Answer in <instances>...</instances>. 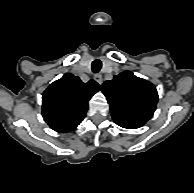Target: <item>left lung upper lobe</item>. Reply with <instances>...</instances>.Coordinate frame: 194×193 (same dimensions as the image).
<instances>
[{"instance_id": "obj_1", "label": "left lung upper lobe", "mask_w": 194, "mask_h": 193, "mask_svg": "<svg viewBox=\"0 0 194 193\" xmlns=\"http://www.w3.org/2000/svg\"><path fill=\"white\" fill-rule=\"evenodd\" d=\"M102 92L114 121L134 127L144 125L153 116L158 101L156 87L130 71L104 82Z\"/></svg>"}]
</instances>
